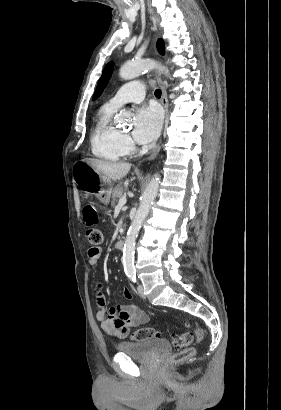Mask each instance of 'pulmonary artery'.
I'll return each mask as SVG.
<instances>
[{"mask_svg": "<svg viewBox=\"0 0 281 410\" xmlns=\"http://www.w3.org/2000/svg\"><path fill=\"white\" fill-rule=\"evenodd\" d=\"M145 90L146 86L141 81L128 82L124 84L104 106L111 110H117L126 103L141 102L144 99Z\"/></svg>", "mask_w": 281, "mask_h": 410, "instance_id": "pulmonary-artery-1", "label": "pulmonary artery"}]
</instances>
